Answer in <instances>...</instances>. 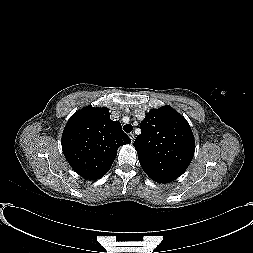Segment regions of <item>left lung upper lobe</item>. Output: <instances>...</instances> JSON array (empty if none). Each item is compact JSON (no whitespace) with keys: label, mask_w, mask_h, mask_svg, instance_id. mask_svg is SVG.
Masks as SVG:
<instances>
[{"label":"left lung upper lobe","mask_w":253,"mask_h":253,"mask_svg":"<svg viewBox=\"0 0 253 253\" xmlns=\"http://www.w3.org/2000/svg\"><path fill=\"white\" fill-rule=\"evenodd\" d=\"M134 147L144 172L155 182L169 183L189 166L195 151L192 130L170 106L151 109L140 124Z\"/></svg>","instance_id":"left-lung-upper-lobe-1"}]
</instances>
